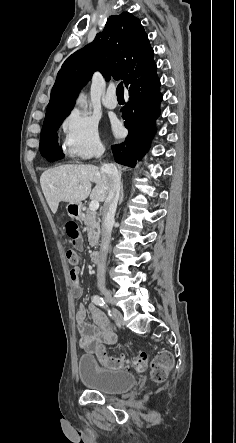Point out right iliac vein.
<instances>
[{"label":"right iliac vein","instance_id":"63e3f726","mask_svg":"<svg viewBox=\"0 0 236 443\" xmlns=\"http://www.w3.org/2000/svg\"><path fill=\"white\" fill-rule=\"evenodd\" d=\"M112 313L117 319L122 320L123 316L119 310L113 308Z\"/></svg>","mask_w":236,"mask_h":443}]
</instances>
